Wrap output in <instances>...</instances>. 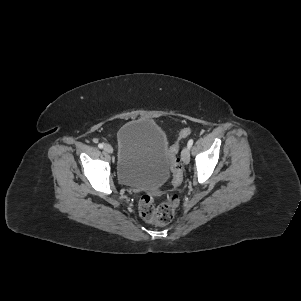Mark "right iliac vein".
<instances>
[{
  "label": "right iliac vein",
  "instance_id": "63e3f726",
  "mask_svg": "<svg viewBox=\"0 0 301 301\" xmlns=\"http://www.w3.org/2000/svg\"><path fill=\"white\" fill-rule=\"evenodd\" d=\"M103 149H104V151L107 152V153H110V154L113 153V148H112V146L109 145V144H105Z\"/></svg>",
  "mask_w": 301,
  "mask_h": 301
}]
</instances>
